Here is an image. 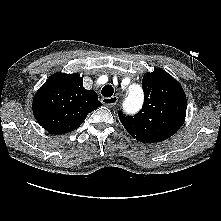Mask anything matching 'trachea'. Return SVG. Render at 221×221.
<instances>
[{
    "label": "trachea",
    "mask_w": 221,
    "mask_h": 221,
    "mask_svg": "<svg viewBox=\"0 0 221 221\" xmlns=\"http://www.w3.org/2000/svg\"><path fill=\"white\" fill-rule=\"evenodd\" d=\"M101 93L104 97H111L114 93V88L112 87V85H105L102 88Z\"/></svg>",
    "instance_id": "obj_1"
}]
</instances>
